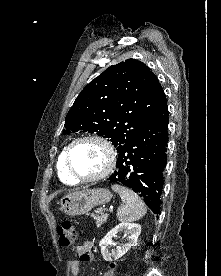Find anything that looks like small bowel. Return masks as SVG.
Listing matches in <instances>:
<instances>
[{"mask_svg":"<svg viewBox=\"0 0 221 276\" xmlns=\"http://www.w3.org/2000/svg\"><path fill=\"white\" fill-rule=\"evenodd\" d=\"M92 243L84 242L77 246L78 259L70 262V270L73 276H78L80 273V262L82 261H94V255L92 253Z\"/></svg>","mask_w":221,"mask_h":276,"instance_id":"1","label":"small bowel"}]
</instances>
